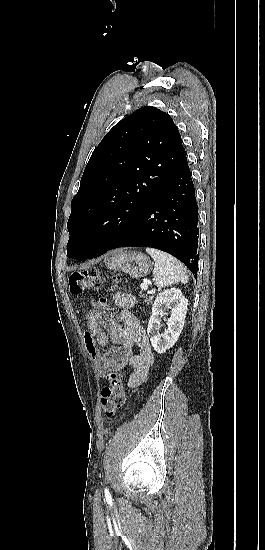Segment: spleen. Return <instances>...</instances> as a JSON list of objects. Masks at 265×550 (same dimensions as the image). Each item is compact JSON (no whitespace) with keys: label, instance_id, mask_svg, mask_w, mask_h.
<instances>
[{"label":"spleen","instance_id":"1","mask_svg":"<svg viewBox=\"0 0 265 550\" xmlns=\"http://www.w3.org/2000/svg\"><path fill=\"white\" fill-rule=\"evenodd\" d=\"M146 252L155 261L153 275L155 284L159 289L178 282L187 283V271L176 258L154 248H146Z\"/></svg>","mask_w":265,"mask_h":550}]
</instances>
